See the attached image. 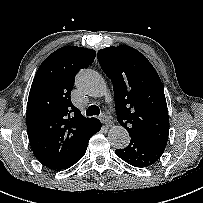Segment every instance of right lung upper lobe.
<instances>
[{
    "instance_id": "cb5924a9",
    "label": "right lung upper lobe",
    "mask_w": 203,
    "mask_h": 203,
    "mask_svg": "<svg viewBox=\"0 0 203 203\" xmlns=\"http://www.w3.org/2000/svg\"><path fill=\"white\" fill-rule=\"evenodd\" d=\"M92 49L65 46L50 54L34 77L27 104V134L34 156L52 170L65 169L98 122L86 119L70 99L80 69L95 58Z\"/></svg>"
}]
</instances>
